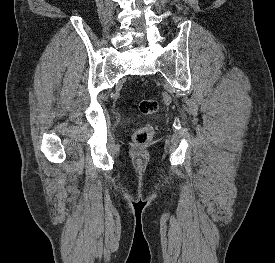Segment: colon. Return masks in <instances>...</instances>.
Instances as JSON below:
<instances>
[{
    "label": "colon",
    "mask_w": 275,
    "mask_h": 263,
    "mask_svg": "<svg viewBox=\"0 0 275 263\" xmlns=\"http://www.w3.org/2000/svg\"><path fill=\"white\" fill-rule=\"evenodd\" d=\"M138 109L143 115H150L156 112L157 102L153 99H143L138 104ZM154 136V129L150 125H145L137 129L133 135V140L136 145H147Z\"/></svg>",
    "instance_id": "1"
}]
</instances>
